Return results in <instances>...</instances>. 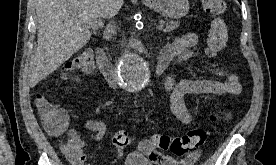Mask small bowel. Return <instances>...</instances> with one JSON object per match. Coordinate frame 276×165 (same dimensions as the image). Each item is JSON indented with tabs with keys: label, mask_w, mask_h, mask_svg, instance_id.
I'll return each mask as SVG.
<instances>
[{
	"label": "small bowel",
	"mask_w": 276,
	"mask_h": 165,
	"mask_svg": "<svg viewBox=\"0 0 276 165\" xmlns=\"http://www.w3.org/2000/svg\"><path fill=\"white\" fill-rule=\"evenodd\" d=\"M198 45V35L192 32H188L166 45L160 54V56L168 59L169 65L173 66L179 65L180 63L191 58H200L208 64L212 73L219 78L217 80L185 79L176 81L173 73L166 75L163 81V85L170 97L171 112L184 124H190L192 122L191 114L188 111L185 103L186 95L206 94L227 96L238 95L242 91V86L238 76L228 69L206 60L198 51ZM85 127L89 132L90 138L94 141H100L106 132V124L103 121L97 119L87 120L85 122ZM68 136V143H74L76 145L75 155H71L65 150L68 158L71 160L73 165H87L85 163L86 155L82 151L86 138L79 131L74 129L68 131ZM146 143L147 140H144L140 143L139 151L148 159L145 153L141 150V146ZM122 156V150L115 151L110 157L109 165H116ZM196 156L197 154H193L185 160L176 161L170 156L157 152L155 159L148 160L158 165H191Z\"/></svg>",
	"instance_id": "1"
}]
</instances>
